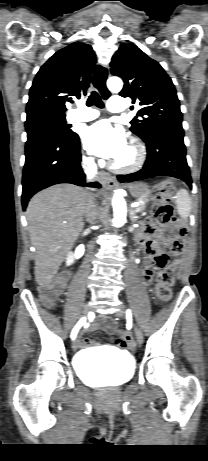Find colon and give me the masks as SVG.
Here are the masks:
<instances>
[{"label": "colon", "mask_w": 208, "mask_h": 461, "mask_svg": "<svg viewBox=\"0 0 208 461\" xmlns=\"http://www.w3.org/2000/svg\"><path fill=\"white\" fill-rule=\"evenodd\" d=\"M173 188V184L170 181H165L157 185L152 192V196L156 201V204L152 208V213L157 222L164 225L176 224L178 229H183L182 222L176 217L174 208L170 203V193ZM182 248V240L178 242H172V249L179 251ZM155 266L160 268L161 271L158 274L155 292L156 296L162 302H168L172 298L171 285L174 282L175 266L168 263V256L166 254H160L154 259ZM65 283L63 280L58 279L40 288V293L43 301L51 304L57 300L60 293L62 292ZM130 336L128 334L120 335V346L126 349V343Z\"/></svg>", "instance_id": "obj_1"}]
</instances>
